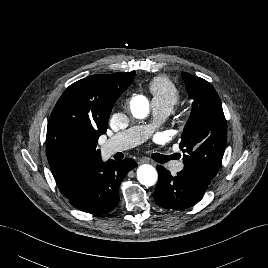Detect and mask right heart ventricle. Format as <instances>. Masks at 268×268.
I'll list each match as a JSON object with an SVG mask.
<instances>
[{"mask_svg": "<svg viewBox=\"0 0 268 268\" xmlns=\"http://www.w3.org/2000/svg\"><path fill=\"white\" fill-rule=\"evenodd\" d=\"M149 90L152 94V101L171 110L181 97L178 87L171 80L164 77L154 78L149 84Z\"/></svg>", "mask_w": 268, "mask_h": 268, "instance_id": "1", "label": "right heart ventricle"}]
</instances>
